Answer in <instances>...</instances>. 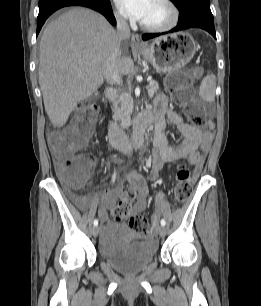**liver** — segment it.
Here are the masks:
<instances>
[{"label":"liver","mask_w":261,"mask_h":306,"mask_svg":"<svg viewBox=\"0 0 261 306\" xmlns=\"http://www.w3.org/2000/svg\"><path fill=\"white\" fill-rule=\"evenodd\" d=\"M120 49L117 32L99 13L73 8L50 22L40 41L39 85L46 113L56 127L66 124L77 103L96 93L104 82L103 65ZM121 75L134 73L131 57L118 60Z\"/></svg>","instance_id":"obj_1"}]
</instances>
